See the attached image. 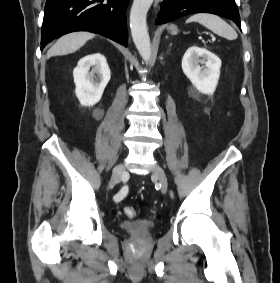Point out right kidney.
Returning a JSON list of instances; mask_svg holds the SVG:
<instances>
[{
  "mask_svg": "<svg viewBox=\"0 0 280 283\" xmlns=\"http://www.w3.org/2000/svg\"><path fill=\"white\" fill-rule=\"evenodd\" d=\"M97 75V82L94 81ZM75 93L83 106H93L102 97L111 73L107 60L100 53L91 54L79 60L73 71Z\"/></svg>",
  "mask_w": 280,
  "mask_h": 283,
  "instance_id": "ca27d5eb",
  "label": "right kidney"
}]
</instances>
